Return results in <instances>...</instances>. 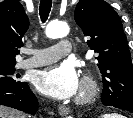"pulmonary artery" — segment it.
<instances>
[{
  "instance_id": "pulmonary-artery-1",
  "label": "pulmonary artery",
  "mask_w": 133,
  "mask_h": 118,
  "mask_svg": "<svg viewBox=\"0 0 133 118\" xmlns=\"http://www.w3.org/2000/svg\"><path fill=\"white\" fill-rule=\"evenodd\" d=\"M72 50V44L67 39H62L56 44L43 49L30 51L32 57L21 63L22 68H32L56 62L68 55Z\"/></svg>"
}]
</instances>
